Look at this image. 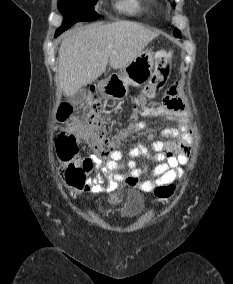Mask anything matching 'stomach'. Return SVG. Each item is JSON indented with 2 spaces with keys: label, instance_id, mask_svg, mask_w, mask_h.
<instances>
[{
  "label": "stomach",
  "instance_id": "stomach-1",
  "mask_svg": "<svg viewBox=\"0 0 233 284\" xmlns=\"http://www.w3.org/2000/svg\"><path fill=\"white\" fill-rule=\"evenodd\" d=\"M151 50L142 51L118 74L110 75L99 84L102 94L113 100H121L128 95L129 86L145 84L152 74L154 57Z\"/></svg>",
  "mask_w": 233,
  "mask_h": 284
}]
</instances>
